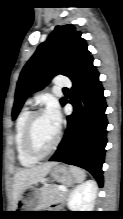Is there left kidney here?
Instances as JSON below:
<instances>
[{
	"label": "left kidney",
	"mask_w": 123,
	"mask_h": 219,
	"mask_svg": "<svg viewBox=\"0 0 123 219\" xmlns=\"http://www.w3.org/2000/svg\"><path fill=\"white\" fill-rule=\"evenodd\" d=\"M97 183L87 180L76 186L68 197V207L71 211H93L97 196Z\"/></svg>",
	"instance_id": "obj_1"
}]
</instances>
